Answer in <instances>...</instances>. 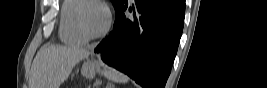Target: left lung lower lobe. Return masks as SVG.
Listing matches in <instances>:
<instances>
[{"mask_svg": "<svg viewBox=\"0 0 267 88\" xmlns=\"http://www.w3.org/2000/svg\"><path fill=\"white\" fill-rule=\"evenodd\" d=\"M125 0L115 10L110 35L96 48L102 60L124 72L144 88H164L183 30L182 0Z\"/></svg>", "mask_w": 267, "mask_h": 88, "instance_id": "0a47b994", "label": "left lung lower lobe"}]
</instances>
